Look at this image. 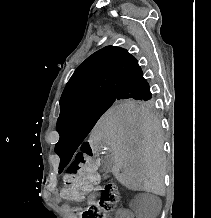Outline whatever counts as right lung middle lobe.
<instances>
[{
    "instance_id": "right-lung-middle-lobe-1",
    "label": "right lung middle lobe",
    "mask_w": 211,
    "mask_h": 218,
    "mask_svg": "<svg viewBox=\"0 0 211 218\" xmlns=\"http://www.w3.org/2000/svg\"><path fill=\"white\" fill-rule=\"evenodd\" d=\"M155 105L152 97L107 96L86 100L60 113L57 120V131L60 135L58 143L79 146L109 108L153 110Z\"/></svg>"
}]
</instances>
